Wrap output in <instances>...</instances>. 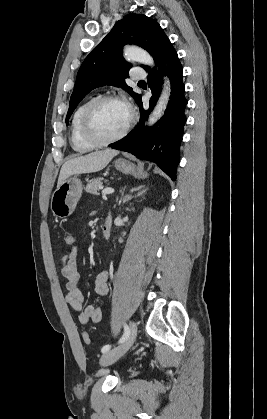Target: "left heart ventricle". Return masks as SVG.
<instances>
[{
    "instance_id": "1",
    "label": "left heart ventricle",
    "mask_w": 267,
    "mask_h": 419,
    "mask_svg": "<svg viewBox=\"0 0 267 419\" xmlns=\"http://www.w3.org/2000/svg\"><path fill=\"white\" fill-rule=\"evenodd\" d=\"M129 119V110L121 102L111 101L96 108L91 117L93 132L101 138H110L118 134Z\"/></svg>"
}]
</instances>
